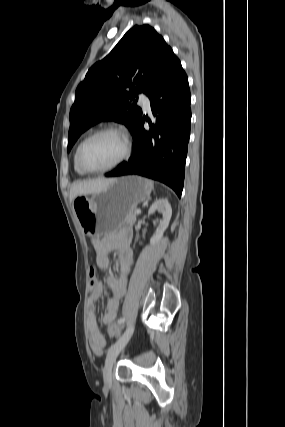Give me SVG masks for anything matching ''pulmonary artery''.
I'll return each instance as SVG.
<instances>
[{
    "label": "pulmonary artery",
    "instance_id": "1",
    "mask_svg": "<svg viewBox=\"0 0 285 427\" xmlns=\"http://www.w3.org/2000/svg\"><path fill=\"white\" fill-rule=\"evenodd\" d=\"M139 102L142 105V107L144 108V110L147 111L150 109V100L146 94L141 93L139 95Z\"/></svg>",
    "mask_w": 285,
    "mask_h": 427
}]
</instances>
